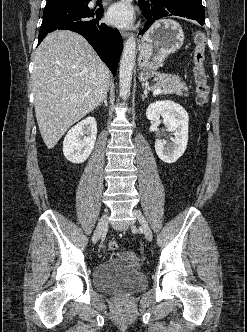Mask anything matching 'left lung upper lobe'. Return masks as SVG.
Returning <instances> with one entry per match:
<instances>
[{"label":"left lung upper lobe","mask_w":247,"mask_h":332,"mask_svg":"<svg viewBox=\"0 0 247 332\" xmlns=\"http://www.w3.org/2000/svg\"><path fill=\"white\" fill-rule=\"evenodd\" d=\"M147 0H139L140 4H144ZM153 5H157L160 2H169V1H188L193 3H201V0H149Z\"/></svg>","instance_id":"5c2ea615"}]
</instances>
